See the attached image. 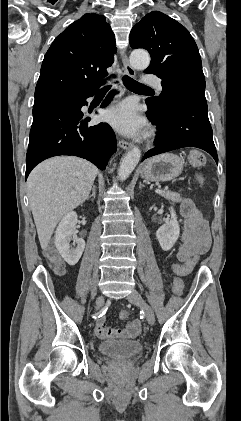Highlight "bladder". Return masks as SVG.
I'll list each match as a JSON object with an SVG mask.
<instances>
[{"label": "bladder", "instance_id": "31cf9c89", "mask_svg": "<svg viewBox=\"0 0 241 421\" xmlns=\"http://www.w3.org/2000/svg\"><path fill=\"white\" fill-rule=\"evenodd\" d=\"M99 352L110 359L127 361L135 358L143 351V346L138 341H105L99 344Z\"/></svg>", "mask_w": 241, "mask_h": 421}]
</instances>
